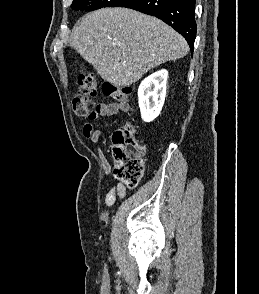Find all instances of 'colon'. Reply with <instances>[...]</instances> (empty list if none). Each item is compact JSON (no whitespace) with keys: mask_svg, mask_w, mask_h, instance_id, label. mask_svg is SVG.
I'll list each match as a JSON object with an SVG mask.
<instances>
[{"mask_svg":"<svg viewBox=\"0 0 259 294\" xmlns=\"http://www.w3.org/2000/svg\"><path fill=\"white\" fill-rule=\"evenodd\" d=\"M79 92L72 97L74 113L83 118H90L95 111L94 98L97 94V81L93 74L82 73L78 76ZM104 95L118 102L127 103L131 89L104 83ZM145 146L141 144L131 125H125L113 135L114 176L128 188H135L143 175V155Z\"/></svg>","mask_w":259,"mask_h":294,"instance_id":"5ec220e1","label":"colon"}]
</instances>
